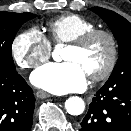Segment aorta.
<instances>
[{
    "label": "aorta",
    "instance_id": "obj_1",
    "mask_svg": "<svg viewBox=\"0 0 131 131\" xmlns=\"http://www.w3.org/2000/svg\"><path fill=\"white\" fill-rule=\"evenodd\" d=\"M57 54V52H54ZM65 108L70 115H80L84 112L85 103L82 98L73 96L66 100Z\"/></svg>",
    "mask_w": 131,
    "mask_h": 131
}]
</instances>
